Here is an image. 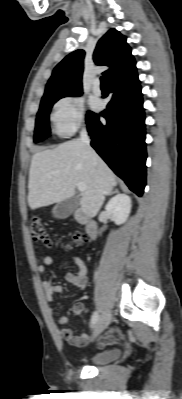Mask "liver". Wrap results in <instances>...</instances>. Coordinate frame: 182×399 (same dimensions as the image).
<instances>
[{"label":"liver","instance_id":"6515ba94","mask_svg":"<svg viewBox=\"0 0 182 399\" xmlns=\"http://www.w3.org/2000/svg\"><path fill=\"white\" fill-rule=\"evenodd\" d=\"M79 183L86 187L79 202L81 210L94 217L117 179L96 152L80 140L39 151L33 155L29 171V207L35 210L73 197Z\"/></svg>","mask_w":182,"mask_h":399}]
</instances>
